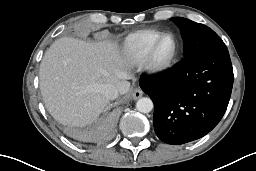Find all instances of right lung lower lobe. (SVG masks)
I'll return each mask as SVG.
<instances>
[{"instance_id":"right-lung-lower-lobe-1","label":"right lung lower lobe","mask_w":256,"mask_h":171,"mask_svg":"<svg viewBox=\"0 0 256 171\" xmlns=\"http://www.w3.org/2000/svg\"><path fill=\"white\" fill-rule=\"evenodd\" d=\"M122 102H114L101 113L92 124L75 129L72 136L86 142H104L109 140L115 130L118 118L121 113Z\"/></svg>"}]
</instances>
